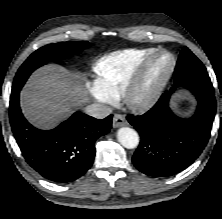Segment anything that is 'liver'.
Here are the masks:
<instances>
[{"label":"liver","mask_w":222,"mask_h":219,"mask_svg":"<svg viewBox=\"0 0 222 219\" xmlns=\"http://www.w3.org/2000/svg\"><path fill=\"white\" fill-rule=\"evenodd\" d=\"M20 99L25 117L43 129L55 127L87 102L78 76L56 64L35 71Z\"/></svg>","instance_id":"1"}]
</instances>
